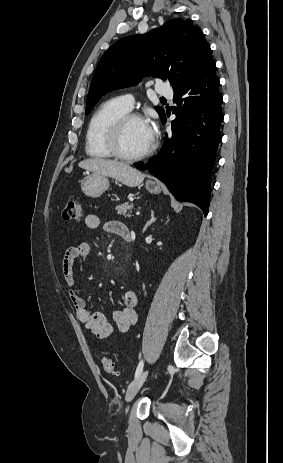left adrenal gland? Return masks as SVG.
<instances>
[{
    "label": "left adrenal gland",
    "instance_id": "a2214340",
    "mask_svg": "<svg viewBox=\"0 0 283 463\" xmlns=\"http://www.w3.org/2000/svg\"><path fill=\"white\" fill-rule=\"evenodd\" d=\"M155 221H156L155 214H154V211L152 210L151 211V219L145 224L143 230L145 231L147 229V227L150 226Z\"/></svg>",
    "mask_w": 283,
    "mask_h": 463
}]
</instances>
